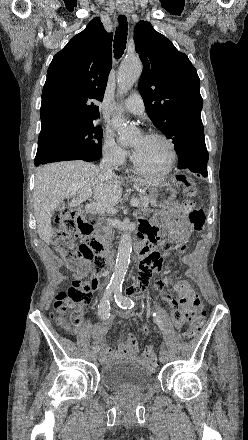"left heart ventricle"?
Returning <instances> with one entry per match:
<instances>
[{
  "label": "left heart ventricle",
  "instance_id": "1",
  "mask_svg": "<svg viewBox=\"0 0 248 440\" xmlns=\"http://www.w3.org/2000/svg\"><path fill=\"white\" fill-rule=\"evenodd\" d=\"M133 158L138 166L147 170H161L169 161V148L164 141L146 136L137 137L133 143Z\"/></svg>",
  "mask_w": 248,
  "mask_h": 440
}]
</instances>
